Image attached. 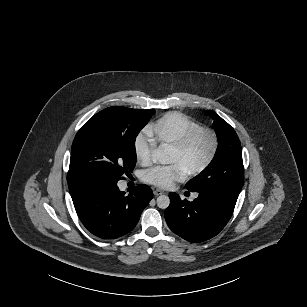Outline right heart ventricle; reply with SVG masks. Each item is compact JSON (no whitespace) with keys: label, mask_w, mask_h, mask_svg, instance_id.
Returning a JSON list of instances; mask_svg holds the SVG:
<instances>
[{"label":"right heart ventricle","mask_w":307,"mask_h":307,"mask_svg":"<svg viewBox=\"0 0 307 307\" xmlns=\"http://www.w3.org/2000/svg\"><path fill=\"white\" fill-rule=\"evenodd\" d=\"M199 126L187 115L168 112L156 122H150L145 129L147 136L156 147L175 144L198 130Z\"/></svg>","instance_id":"1"}]
</instances>
